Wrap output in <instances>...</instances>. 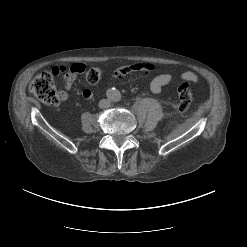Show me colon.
<instances>
[{
  "label": "colon",
  "instance_id": "obj_1",
  "mask_svg": "<svg viewBox=\"0 0 247 247\" xmlns=\"http://www.w3.org/2000/svg\"><path fill=\"white\" fill-rule=\"evenodd\" d=\"M102 71L99 68H90L86 73V81L90 85L99 82ZM30 91L43 103L56 106L60 102L59 93L56 91L53 75L49 72L38 74L30 84ZM193 101V95L186 83H178L175 89V104L180 112H186Z\"/></svg>",
  "mask_w": 247,
  "mask_h": 247
}]
</instances>
